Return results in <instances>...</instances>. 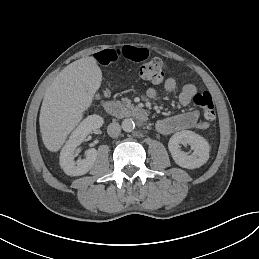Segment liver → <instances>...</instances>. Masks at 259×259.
<instances>
[{"label":"liver","instance_id":"liver-1","mask_svg":"<svg viewBox=\"0 0 259 259\" xmlns=\"http://www.w3.org/2000/svg\"><path fill=\"white\" fill-rule=\"evenodd\" d=\"M98 60L88 56L66 66L46 89L39 116L44 147L58 153L82 121L102 84Z\"/></svg>","mask_w":259,"mask_h":259}]
</instances>
